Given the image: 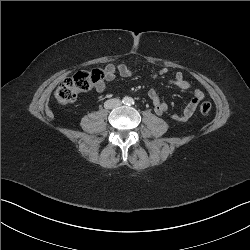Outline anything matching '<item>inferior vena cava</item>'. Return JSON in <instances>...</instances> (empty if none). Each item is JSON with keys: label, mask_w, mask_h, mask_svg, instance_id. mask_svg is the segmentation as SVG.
Segmentation results:
<instances>
[{"label": "inferior vena cava", "mask_w": 250, "mask_h": 250, "mask_svg": "<svg viewBox=\"0 0 250 250\" xmlns=\"http://www.w3.org/2000/svg\"><path fill=\"white\" fill-rule=\"evenodd\" d=\"M121 101L119 99H110L105 102V108L107 109H113L121 106Z\"/></svg>", "instance_id": "1"}]
</instances>
